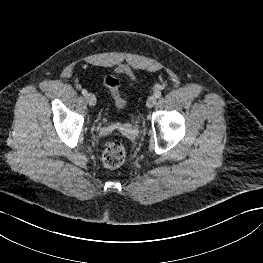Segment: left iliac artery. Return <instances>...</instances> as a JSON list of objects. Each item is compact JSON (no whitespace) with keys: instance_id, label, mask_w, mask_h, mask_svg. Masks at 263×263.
<instances>
[{"instance_id":"1","label":"left iliac artery","mask_w":263,"mask_h":263,"mask_svg":"<svg viewBox=\"0 0 263 263\" xmlns=\"http://www.w3.org/2000/svg\"><path fill=\"white\" fill-rule=\"evenodd\" d=\"M154 96H155L156 98H160V97H161V92H156V93L154 94Z\"/></svg>"}]
</instances>
